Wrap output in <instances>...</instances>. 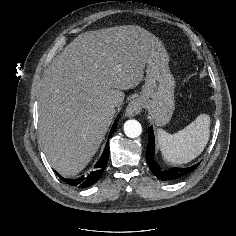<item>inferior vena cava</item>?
<instances>
[{"label": "inferior vena cava", "instance_id": "1", "mask_svg": "<svg viewBox=\"0 0 236 236\" xmlns=\"http://www.w3.org/2000/svg\"><path fill=\"white\" fill-rule=\"evenodd\" d=\"M114 107H116V104L113 103L110 105V108L114 109Z\"/></svg>", "mask_w": 236, "mask_h": 236}]
</instances>
